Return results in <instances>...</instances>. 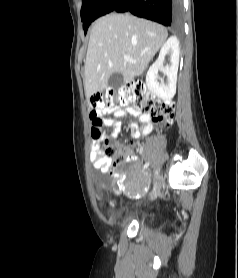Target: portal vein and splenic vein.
Returning a JSON list of instances; mask_svg holds the SVG:
<instances>
[{"mask_svg": "<svg viewBox=\"0 0 238 278\" xmlns=\"http://www.w3.org/2000/svg\"><path fill=\"white\" fill-rule=\"evenodd\" d=\"M124 60L127 62H134L130 55H124Z\"/></svg>", "mask_w": 238, "mask_h": 278, "instance_id": "18ae733b", "label": "portal vein and splenic vein"}]
</instances>
